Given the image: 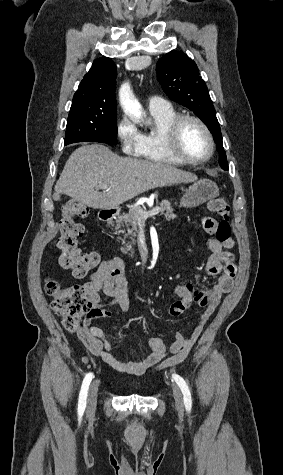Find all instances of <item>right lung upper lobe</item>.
<instances>
[{
    "label": "right lung upper lobe",
    "mask_w": 283,
    "mask_h": 475,
    "mask_svg": "<svg viewBox=\"0 0 283 475\" xmlns=\"http://www.w3.org/2000/svg\"><path fill=\"white\" fill-rule=\"evenodd\" d=\"M116 65L111 58L100 57L93 62V66L85 74L73 102H95L116 105Z\"/></svg>",
    "instance_id": "obj_1"
}]
</instances>
